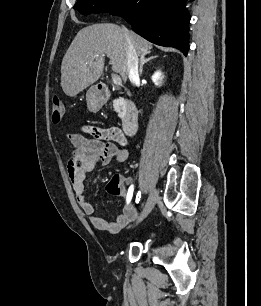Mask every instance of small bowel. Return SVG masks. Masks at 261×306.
<instances>
[{
	"mask_svg": "<svg viewBox=\"0 0 261 306\" xmlns=\"http://www.w3.org/2000/svg\"><path fill=\"white\" fill-rule=\"evenodd\" d=\"M86 131L91 136L78 133L68 135L74 146L68 161V174L77 202L89 217L91 224L100 231L117 234L136 216L134 204L131 203V200L127 202L128 191L133 186L132 178L115 175L107 185L109 193L121 195L126 199L123 212L113 221L95 214L93 204L87 200L85 195V181L87 174L97 165H106L112 160L124 162L128 158L126 139L119 130L114 128L88 127ZM79 160H81L80 163Z\"/></svg>",
	"mask_w": 261,
	"mask_h": 306,
	"instance_id": "1",
	"label": "small bowel"
}]
</instances>
